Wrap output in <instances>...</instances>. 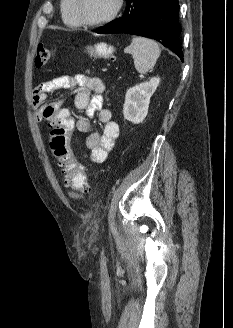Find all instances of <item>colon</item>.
Masks as SVG:
<instances>
[{"instance_id":"1","label":"colon","mask_w":233,"mask_h":328,"mask_svg":"<svg viewBox=\"0 0 233 328\" xmlns=\"http://www.w3.org/2000/svg\"><path fill=\"white\" fill-rule=\"evenodd\" d=\"M99 54H107L105 47L96 49ZM51 50L38 45L35 56V66L43 67L51 59ZM51 131L49 134L50 148L57 159L68 173V184L77 191L87 192L89 183L82 165L75 159L70 149V140L74 131L75 121L68 110H58L48 122Z\"/></svg>"}]
</instances>
